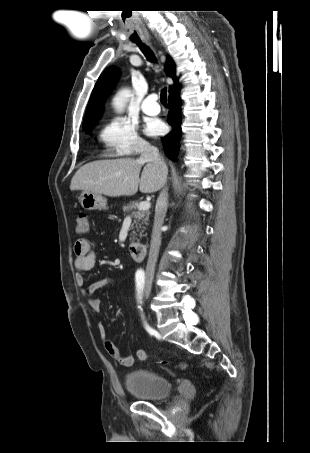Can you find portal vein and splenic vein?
Listing matches in <instances>:
<instances>
[{"label": "portal vein and splenic vein", "mask_w": 310, "mask_h": 453, "mask_svg": "<svg viewBox=\"0 0 310 453\" xmlns=\"http://www.w3.org/2000/svg\"><path fill=\"white\" fill-rule=\"evenodd\" d=\"M150 207H151V204L148 201L141 202L138 205V209L141 211H147V210H149Z\"/></svg>", "instance_id": "obj_1"}]
</instances>
